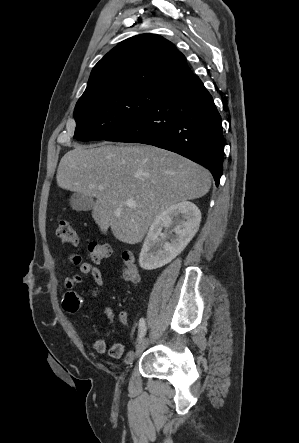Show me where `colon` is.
<instances>
[{
  "mask_svg": "<svg viewBox=\"0 0 299 443\" xmlns=\"http://www.w3.org/2000/svg\"><path fill=\"white\" fill-rule=\"evenodd\" d=\"M57 236L66 244L79 246V237L73 226L65 219H60L56 229ZM112 247L105 242L96 241L89 244L87 254L89 259L99 264L112 254ZM122 276L126 281H137L139 277L138 266L130 251L122 252Z\"/></svg>",
  "mask_w": 299,
  "mask_h": 443,
  "instance_id": "1",
  "label": "colon"
}]
</instances>
